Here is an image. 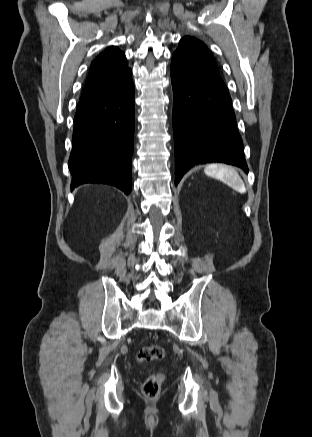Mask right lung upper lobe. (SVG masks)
Returning <instances> with one entry per match:
<instances>
[{"mask_svg": "<svg viewBox=\"0 0 312 437\" xmlns=\"http://www.w3.org/2000/svg\"><path fill=\"white\" fill-rule=\"evenodd\" d=\"M130 72L125 55L117 47H108L92 62L80 101L94 98L115 87Z\"/></svg>", "mask_w": 312, "mask_h": 437, "instance_id": "right-lung-upper-lobe-1", "label": "right lung upper lobe"}]
</instances>
